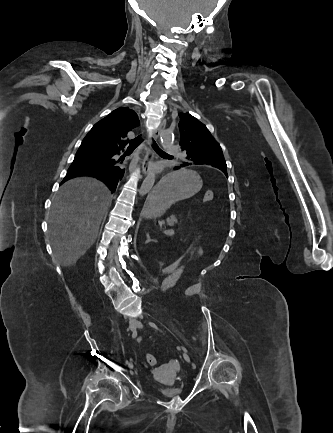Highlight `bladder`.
<instances>
[{
	"label": "bladder",
	"mask_w": 333,
	"mask_h": 433,
	"mask_svg": "<svg viewBox=\"0 0 333 433\" xmlns=\"http://www.w3.org/2000/svg\"><path fill=\"white\" fill-rule=\"evenodd\" d=\"M161 397L166 399H173L183 395V388L181 386L164 387L158 390Z\"/></svg>",
	"instance_id": "obj_1"
}]
</instances>
